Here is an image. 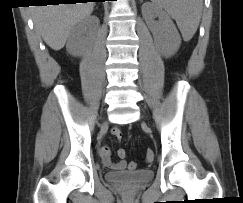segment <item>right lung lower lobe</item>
I'll use <instances>...</instances> for the list:
<instances>
[{
    "label": "right lung lower lobe",
    "instance_id": "right-lung-lower-lobe-1",
    "mask_svg": "<svg viewBox=\"0 0 243 203\" xmlns=\"http://www.w3.org/2000/svg\"><path fill=\"white\" fill-rule=\"evenodd\" d=\"M44 1H48V0H40V2H38L37 5H40V6H41V4L43 5L45 3ZM60 1L61 2H58V3H68V4H70V3H77V1H87V0H60ZM91 1L99 2V1H105V0H91ZM54 4H57V3H54Z\"/></svg>",
    "mask_w": 243,
    "mask_h": 203
}]
</instances>
